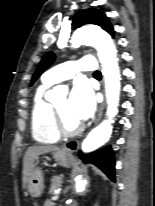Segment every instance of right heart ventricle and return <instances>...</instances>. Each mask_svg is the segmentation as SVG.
<instances>
[{
  "label": "right heart ventricle",
  "instance_id": "1",
  "mask_svg": "<svg viewBox=\"0 0 155 206\" xmlns=\"http://www.w3.org/2000/svg\"><path fill=\"white\" fill-rule=\"evenodd\" d=\"M50 86L51 84L43 80L35 93L31 109L32 136L43 144L55 143L60 138L53 122L51 103L45 98V92Z\"/></svg>",
  "mask_w": 155,
  "mask_h": 206
}]
</instances>
